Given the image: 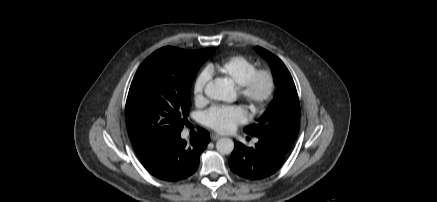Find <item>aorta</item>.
<instances>
[{
	"mask_svg": "<svg viewBox=\"0 0 437 202\" xmlns=\"http://www.w3.org/2000/svg\"><path fill=\"white\" fill-rule=\"evenodd\" d=\"M207 97L214 100L234 102L237 98L233 84L222 78L210 81L204 89ZM216 149L221 154H230L234 149V142L230 138H220L216 143Z\"/></svg>",
	"mask_w": 437,
	"mask_h": 202,
	"instance_id": "1",
	"label": "aorta"
}]
</instances>
